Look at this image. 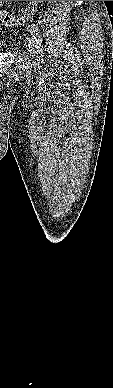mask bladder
<instances>
[{
	"label": "bladder",
	"mask_w": 113,
	"mask_h": 388,
	"mask_svg": "<svg viewBox=\"0 0 113 388\" xmlns=\"http://www.w3.org/2000/svg\"><path fill=\"white\" fill-rule=\"evenodd\" d=\"M2 49V45L0 44V50Z\"/></svg>",
	"instance_id": "obj_1"
}]
</instances>
